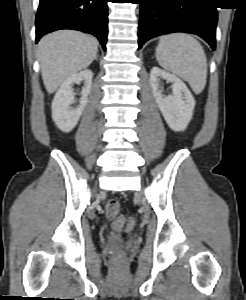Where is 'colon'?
Here are the masks:
<instances>
[{"label":"colon","mask_w":246,"mask_h":300,"mask_svg":"<svg viewBox=\"0 0 246 300\" xmlns=\"http://www.w3.org/2000/svg\"><path fill=\"white\" fill-rule=\"evenodd\" d=\"M119 202L115 199H110L105 204V212L109 219L113 221V226L116 230L130 231L134 226V220L130 217L120 216L119 214ZM115 260L120 261L122 254L115 255Z\"/></svg>","instance_id":"1"}]
</instances>
